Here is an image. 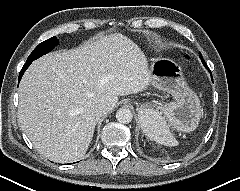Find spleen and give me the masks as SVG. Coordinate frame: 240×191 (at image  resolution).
I'll return each instance as SVG.
<instances>
[{
	"mask_svg": "<svg viewBox=\"0 0 240 191\" xmlns=\"http://www.w3.org/2000/svg\"><path fill=\"white\" fill-rule=\"evenodd\" d=\"M140 124L143 132L151 140L169 147L178 145V141L170 132L165 117L157 110L151 109L146 114L140 116Z\"/></svg>",
	"mask_w": 240,
	"mask_h": 191,
	"instance_id": "1",
	"label": "spleen"
}]
</instances>
